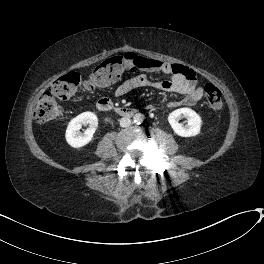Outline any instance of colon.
<instances>
[{"label":"colon","mask_w":264,"mask_h":264,"mask_svg":"<svg viewBox=\"0 0 264 264\" xmlns=\"http://www.w3.org/2000/svg\"><path fill=\"white\" fill-rule=\"evenodd\" d=\"M139 69L136 56L127 54L105 60L97 66L90 79L82 83L75 72H69L56 79L51 86L39 97L35 118L38 122L46 123L60 118L63 108L59 99H75L80 91L95 90L116 82L123 74L133 73ZM205 97L213 109L222 106V93L218 87L208 83L205 85Z\"/></svg>","instance_id":"obj_1"}]
</instances>
